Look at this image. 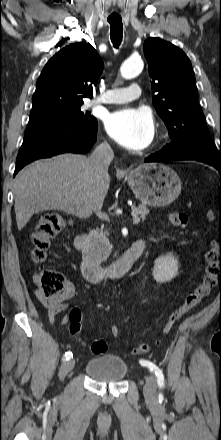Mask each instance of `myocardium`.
<instances>
[{
    "label": "myocardium",
    "instance_id": "1",
    "mask_svg": "<svg viewBox=\"0 0 221 440\" xmlns=\"http://www.w3.org/2000/svg\"><path fill=\"white\" fill-rule=\"evenodd\" d=\"M165 136L162 132H158L155 137V144H159L164 140Z\"/></svg>",
    "mask_w": 221,
    "mask_h": 440
}]
</instances>
